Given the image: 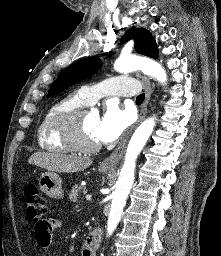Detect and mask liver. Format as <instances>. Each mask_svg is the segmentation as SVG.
<instances>
[{"instance_id": "liver-1", "label": "liver", "mask_w": 221, "mask_h": 256, "mask_svg": "<svg viewBox=\"0 0 221 256\" xmlns=\"http://www.w3.org/2000/svg\"><path fill=\"white\" fill-rule=\"evenodd\" d=\"M89 158L61 153L36 152L28 159V163L39 166L50 172L75 173L83 171L92 164Z\"/></svg>"}]
</instances>
